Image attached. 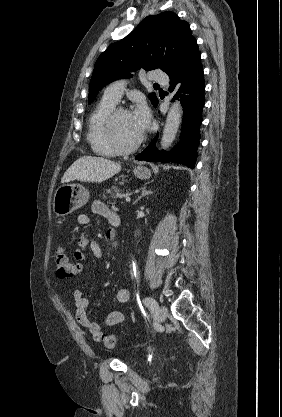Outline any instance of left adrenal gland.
<instances>
[{
  "instance_id": "a2214340",
  "label": "left adrenal gland",
  "mask_w": 282,
  "mask_h": 417,
  "mask_svg": "<svg viewBox=\"0 0 282 417\" xmlns=\"http://www.w3.org/2000/svg\"><path fill=\"white\" fill-rule=\"evenodd\" d=\"M140 190H141V194H140V196H138V198H136V200H134V204H135V202H137V200H140V198H142V196H147V194H152V190H147L145 184H143V186H141Z\"/></svg>"
}]
</instances>
